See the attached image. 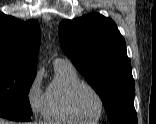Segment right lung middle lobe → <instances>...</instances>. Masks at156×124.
Instances as JSON below:
<instances>
[{
	"label": "right lung middle lobe",
	"instance_id": "obj_1",
	"mask_svg": "<svg viewBox=\"0 0 156 124\" xmlns=\"http://www.w3.org/2000/svg\"><path fill=\"white\" fill-rule=\"evenodd\" d=\"M36 71L0 66V110L31 116L28 93Z\"/></svg>",
	"mask_w": 156,
	"mask_h": 124
}]
</instances>
